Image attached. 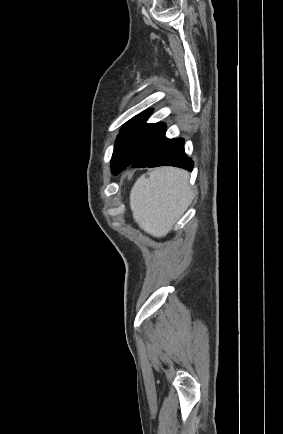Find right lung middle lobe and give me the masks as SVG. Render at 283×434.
Segmentation results:
<instances>
[{
  "mask_svg": "<svg viewBox=\"0 0 283 434\" xmlns=\"http://www.w3.org/2000/svg\"><path fill=\"white\" fill-rule=\"evenodd\" d=\"M149 116H135L124 124L117 138L111 166L118 174L137 161L156 141L165 135L163 123L146 124Z\"/></svg>",
  "mask_w": 283,
  "mask_h": 434,
  "instance_id": "obj_1",
  "label": "right lung middle lobe"
}]
</instances>
